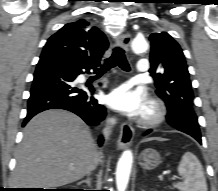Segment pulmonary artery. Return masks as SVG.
<instances>
[{"label": "pulmonary artery", "instance_id": "1", "mask_svg": "<svg viewBox=\"0 0 218 191\" xmlns=\"http://www.w3.org/2000/svg\"><path fill=\"white\" fill-rule=\"evenodd\" d=\"M148 65H149L148 60H146V59L139 60L137 63L136 74L139 75V74L145 73L148 69Z\"/></svg>", "mask_w": 218, "mask_h": 191}]
</instances>
